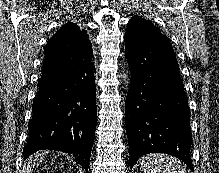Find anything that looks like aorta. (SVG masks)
Masks as SVG:
<instances>
[{"instance_id": "aorta-1", "label": "aorta", "mask_w": 219, "mask_h": 173, "mask_svg": "<svg viewBox=\"0 0 219 173\" xmlns=\"http://www.w3.org/2000/svg\"><path fill=\"white\" fill-rule=\"evenodd\" d=\"M122 77L125 79V78L127 77V75H126V74H123Z\"/></svg>"}]
</instances>
